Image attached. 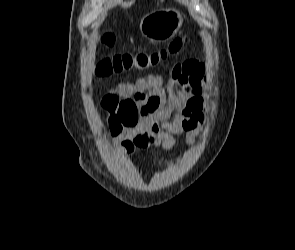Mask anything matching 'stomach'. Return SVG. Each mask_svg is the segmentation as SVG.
Masks as SVG:
<instances>
[{
	"mask_svg": "<svg viewBox=\"0 0 295 250\" xmlns=\"http://www.w3.org/2000/svg\"><path fill=\"white\" fill-rule=\"evenodd\" d=\"M182 16L175 9H160L146 15L141 23L142 34L153 40H166L173 37L182 26Z\"/></svg>",
	"mask_w": 295,
	"mask_h": 250,
	"instance_id": "0dacf381",
	"label": "stomach"
}]
</instances>
